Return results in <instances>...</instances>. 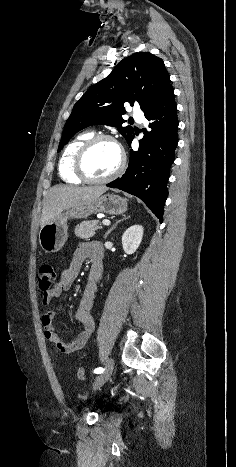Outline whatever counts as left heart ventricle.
<instances>
[{
  "label": "left heart ventricle",
  "instance_id": "obj_1",
  "mask_svg": "<svg viewBox=\"0 0 236 467\" xmlns=\"http://www.w3.org/2000/svg\"><path fill=\"white\" fill-rule=\"evenodd\" d=\"M119 161L118 148L112 142L102 140L90 149L86 157L85 167L91 176L103 178L117 168Z\"/></svg>",
  "mask_w": 236,
  "mask_h": 467
}]
</instances>
